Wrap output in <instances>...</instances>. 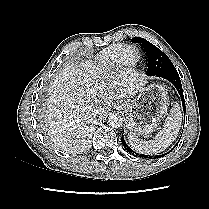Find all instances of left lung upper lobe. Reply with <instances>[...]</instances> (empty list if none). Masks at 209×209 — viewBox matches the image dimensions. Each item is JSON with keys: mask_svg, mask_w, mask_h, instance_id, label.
Segmentation results:
<instances>
[{"mask_svg": "<svg viewBox=\"0 0 209 209\" xmlns=\"http://www.w3.org/2000/svg\"><path fill=\"white\" fill-rule=\"evenodd\" d=\"M131 41L140 43L148 57L147 75L155 76L165 70L175 69L168 56L149 41L140 37H134Z\"/></svg>", "mask_w": 209, "mask_h": 209, "instance_id": "obj_1", "label": "left lung upper lobe"}]
</instances>
